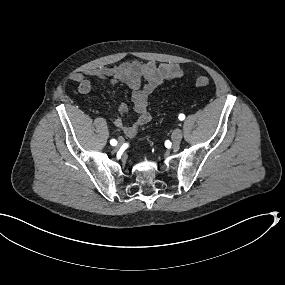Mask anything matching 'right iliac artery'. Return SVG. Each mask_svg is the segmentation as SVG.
<instances>
[{"label":"right iliac artery","instance_id":"82829eb1","mask_svg":"<svg viewBox=\"0 0 285 285\" xmlns=\"http://www.w3.org/2000/svg\"><path fill=\"white\" fill-rule=\"evenodd\" d=\"M110 144L112 146H116L117 145V141L115 139L110 140Z\"/></svg>","mask_w":285,"mask_h":285}]
</instances>
